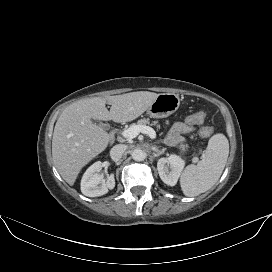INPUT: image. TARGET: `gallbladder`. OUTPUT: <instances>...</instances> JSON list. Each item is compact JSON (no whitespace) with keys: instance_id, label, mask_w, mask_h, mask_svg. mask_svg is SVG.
<instances>
[{"instance_id":"bac80fb5","label":"gallbladder","mask_w":272,"mask_h":272,"mask_svg":"<svg viewBox=\"0 0 272 272\" xmlns=\"http://www.w3.org/2000/svg\"><path fill=\"white\" fill-rule=\"evenodd\" d=\"M93 122L95 124H97L98 126H100L101 128H103L104 130H108L109 129V124H107V123H104L102 121L95 120V119L93 120Z\"/></svg>"}]
</instances>
